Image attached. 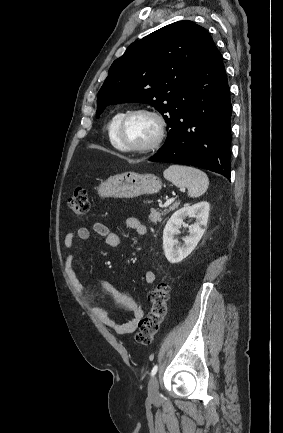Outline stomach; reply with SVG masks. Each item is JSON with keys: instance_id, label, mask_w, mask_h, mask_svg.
<instances>
[{"instance_id": "0dacf381", "label": "stomach", "mask_w": 283, "mask_h": 433, "mask_svg": "<svg viewBox=\"0 0 283 433\" xmlns=\"http://www.w3.org/2000/svg\"><path fill=\"white\" fill-rule=\"evenodd\" d=\"M162 188L159 176L155 174H137L123 172L114 174L97 186L99 196H115V198H133L140 194H154Z\"/></svg>"}]
</instances>
